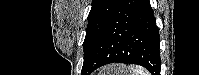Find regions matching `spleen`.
<instances>
[{
    "instance_id": "obj_1",
    "label": "spleen",
    "mask_w": 199,
    "mask_h": 75,
    "mask_svg": "<svg viewBox=\"0 0 199 75\" xmlns=\"http://www.w3.org/2000/svg\"><path fill=\"white\" fill-rule=\"evenodd\" d=\"M131 70L133 71L132 75H150L149 72L142 67H131Z\"/></svg>"
}]
</instances>
